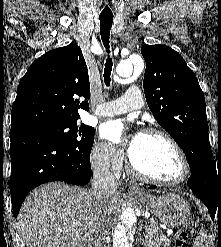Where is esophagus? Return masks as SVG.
I'll list each match as a JSON object with an SVG mask.
<instances>
[{
	"label": "esophagus",
	"instance_id": "34e87169",
	"mask_svg": "<svg viewBox=\"0 0 221 247\" xmlns=\"http://www.w3.org/2000/svg\"><path fill=\"white\" fill-rule=\"evenodd\" d=\"M129 192H130V193H140L141 190H140L138 187H136V186H131V187L129 188Z\"/></svg>",
	"mask_w": 221,
	"mask_h": 247
}]
</instances>
